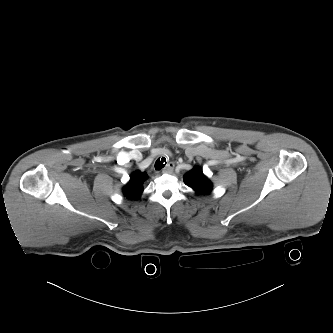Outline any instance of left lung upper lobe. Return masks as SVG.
<instances>
[{
  "instance_id": "1",
  "label": "left lung upper lobe",
  "mask_w": 333,
  "mask_h": 333,
  "mask_svg": "<svg viewBox=\"0 0 333 333\" xmlns=\"http://www.w3.org/2000/svg\"><path fill=\"white\" fill-rule=\"evenodd\" d=\"M183 180L197 195L209 194L212 191L213 184L208 177L203 174L200 167L195 166L192 170L187 172Z\"/></svg>"
}]
</instances>
